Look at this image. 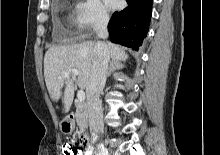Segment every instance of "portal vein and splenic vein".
<instances>
[{
	"label": "portal vein and splenic vein",
	"mask_w": 220,
	"mask_h": 155,
	"mask_svg": "<svg viewBox=\"0 0 220 155\" xmlns=\"http://www.w3.org/2000/svg\"><path fill=\"white\" fill-rule=\"evenodd\" d=\"M70 74H72L73 76H78V70L75 68L69 69L66 73H65V78H67ZM77 98L80 102H83L85 100V93L83 90H79L77 92Z\"/></svg>",
	"instance_id": "1"
}]
</instances>
